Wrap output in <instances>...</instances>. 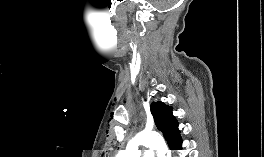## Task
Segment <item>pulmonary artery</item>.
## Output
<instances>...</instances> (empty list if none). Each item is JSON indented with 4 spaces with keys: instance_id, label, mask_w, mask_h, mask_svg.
I'll return each instance as SVG.
<instances>
[{
    "instance_id": "e3ab8cb5",
    "label": "pulmonary artery",
    "mask_w": 264,
    "mask_h": 157,
    "mask_svg": "<svg viewBox=\"0 0 264 157\" xmlns=\"http://www.w3.org/2000/svg\"><path fill=\"white\" fill-rule=\"evenodd\" d=\"M143 157H154V153L152 150H145L143 152Z\"/></svg>"
}]
</instances>
